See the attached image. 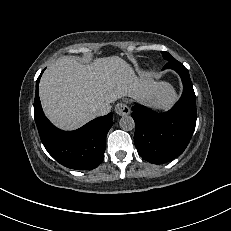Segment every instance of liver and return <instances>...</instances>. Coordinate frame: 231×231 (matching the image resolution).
Returning <instances> with one entry per match:
<instances>
[{"label": "liver", "mask_w": 231, "mask_h": 231, "mask_svg": "<svg viewBox=\"0 0 231 231\" xmlns=\"http://www.w3.org/2000/svg\"><path fill=\"white\" fill-rule=\"evenodd\" d=\"M39 95L50 121L63 130H75L96 117L95 109L128 96L168 106L175 98L168 83L138 78L118 56L95 59L83 65L72 56L52 63L40 80Z\"/></svg>", "instance_id": "obj_1"}]
</instances>
